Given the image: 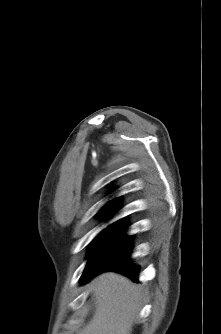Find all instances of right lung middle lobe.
Segmentation results:
<instances>
[{
    "label": "right lung middle lobe",
    "mask_w": 221,
    "mask_h": 334,
    "mask_svg": "<svg viewBox=\"0 0 221 334\" xmlns=\"http://www.w3.org/2000/svg\"><path fill=\"white\" fill-rule=\"evenodd\" d=\"M125 225V218L120 219L109 225L94 238L88 257L89 261L81 277L82 280L88 274L109 264L131 244V237H127L123 233Z\"/></svg>",
    "instance_id": "dd1d6c3e"
}]
</instances>
